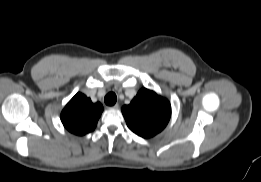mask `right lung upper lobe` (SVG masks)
I'll return each instance as SVG.
<instances>
[{
  "instance_id": "1",
  "label": "right lung upper lobe",
  "mask_w": 261,
  "mask_h": 182,
  "mask_svg": "<svg viewBox=\"0 0 261 182\" xmlns=\"http://www.w3.org/2000/svg\"><path fill=\"white\" fill-rule=\"evenodd\" d=\"M102 111L101 103H92L90 98L77 93L63 109L61 121L68 131L82 136L95 129Z\"/></svg>"
}]
</instances>
